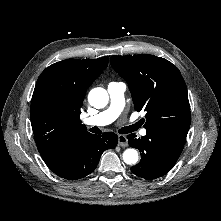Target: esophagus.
<instances>
[{"instance_id": "34e87169", "label": "esophagus", "mask_w": 221, "mask_h": 221, "mask_svg": "<svg viewBox=\"0 0 221 221\" xmlns=\"http://www.w3.org/2000/svg\"><path fill=\"white\" fill-rule=\"evenodd\" d=\"M118 144L121 147L128 146V139L125 135H118Z\"/></svg>"}]
</instances>
